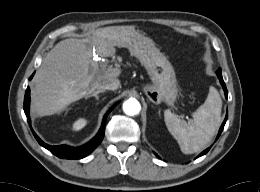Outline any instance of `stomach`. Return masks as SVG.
Here are the masks:
<instances>
[{"instance_id": "0dacf381", "label": "stomach", "mask_w": 260, "mask_h": 192, "mask_svg": "<svg viewBox=\"0 0 260 192\" xmlns=\"http://www.w3.org/2000/svg\"><path fill=\"white\" fill-rule=\"evenodd\" d=\"M110 34L116 46L127 48L146 69L151 84L143 86V91L148 99L155 104L165 102L173 106L178 95L175 71L154 42L131 27L121 26Z\"/></svg>"}]
</instances>
